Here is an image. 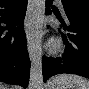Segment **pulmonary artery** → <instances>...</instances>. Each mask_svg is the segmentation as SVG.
I'll return each instance as SVG.
<instances>
[{
    "mask_svg": "<svg viewBox=\"0 0 89 89\" xmlns=\"http://www.w3.org/2000/svg\"><path fill=\"white\" fill-rule=\"evenodd\" d=\"M57 2H58V3H59V5L61 6V4H60V2H61V1H60V0H58Z\"/></svg>",
    "mask_w": 89,
    "mask_h": 89,
    "instance_id": "pulmonary-artery-1",
    "label": "pulmonary artery"
}]
</instances>
